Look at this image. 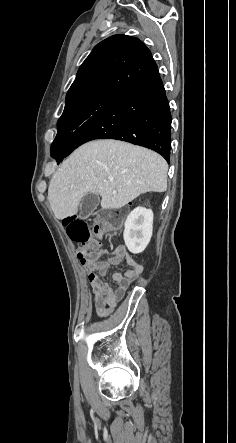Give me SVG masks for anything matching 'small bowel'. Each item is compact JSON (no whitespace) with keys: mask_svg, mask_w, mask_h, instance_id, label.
I'll return each mask as SVG.
<instances>
[{"mask_svg":"<svg viewBox=\"0 0 236 443\" xmlns=\"http://www.w3.org/2000/svg\"><path fill=\"white\" fill-rule=\"evenodd\" d=\"M102 253L101 249L99 255ZM125 262L128 269L124 272H115L112 275L115 285H108L103 277L112 265ZM86 270V277L91 287L92 300L98 314L103 315L114 308L121 301L131 284L142 273L143 266L124 247H117L106 260L95 259L90 262L80 261Z\"/></svg>","mask_w":236,"mask_h":443,"instance_id":"obj_1","label":"small bowel"}]
</instances>
